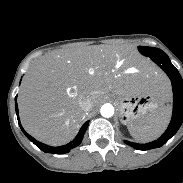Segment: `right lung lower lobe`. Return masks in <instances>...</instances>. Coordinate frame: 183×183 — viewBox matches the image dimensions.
Segmentation results:
<instances>
[{
  "label": "right lung lower lobe",
  "mask_w": 183,
  "mask_h": 183,
  "mask_svg": "<svg viewBox=\"0 0 183 183\" xmlns=\"http://www.w3.org/2000/svg\"><path fill=\"white\" fill-rule=\"evenodd\" d=\"M17 97V96H16ZM15 108H16V114H17V119H18V123L19 126L21 128V130L23 131V133L26 135V137L33 142L35 145H37L39 147V149H41L42 151L46 152V153H53V154H65L67 152H69L71 149L77 147L83 139L84 133L88 127L89 121H87L80 129L79 133L77 134V136L74 138V140H72L70 143L63 145V146H59V147H51L48 146L46 144H43L37 140H35L32 136H30L21 126L20 120H19V115H18V106H17V102L15 103Z\"/></svg>",
  "instance_id": "right-lung-lower-lobe-1"
}]
</instances>
